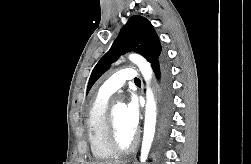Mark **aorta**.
<instances>
[{"label": "aorta", "instance_id": "762f6f07", "mask_svg": "<svg viewBox=\"0 0 251 164\" xmlns=\"http://www.w3.org/2000/svg\"><path fill=\"white\" fill-rule=\"evenodd\" d=\"M129 59L138 66L147 85L144 134L140 156V159L144 161L148 157L156 128V102L152 89L150 88V81L152 79L153 71L150 63L147 62L142 56L138 54H130Z\"/></svg>", "mask_w": 251, "mask_h": 164}]
</instances>
